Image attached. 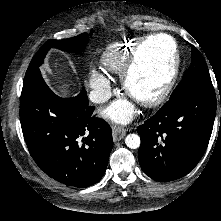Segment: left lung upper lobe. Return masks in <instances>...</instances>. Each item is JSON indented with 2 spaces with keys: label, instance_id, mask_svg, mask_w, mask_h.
<instances>
[{
  "label": "left lung upper lobe",
  "instance_id": "1",
  "mask_svg": "<svg viewBox=\"0 0 221 221\" xmlns=\"http://www.w3.org/2000/svg\"><path fill=\"white\" fill-rule=\"evenodd\" d=\"M191 57L192 61L190 66L185 71L183 79L173 91L170 99L176 97L178 94L192 85H205L213 87L206 61L194 46H192Z\"/></svg>",
  "mask_w": 221,
  "mask_h": 221
}]
</instances>
